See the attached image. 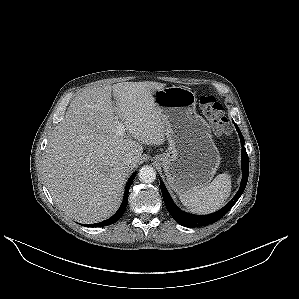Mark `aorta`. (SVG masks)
I'll use <instances>...</instances> for the list:
<instances>
[{
	"instance_id": "obj_1",
	"label": "aorta",
	"mask_w": 299,
	"mask_h": 299,
	"mask_svg": "<svg viewBox=\"0 0 299 299\" xmlns=\"http://www.w3.org/2000/svg\"><path fill=\"white\" fill-rule=\"evenodd\" d=\"M138 176L143 183H152L156 179V171L153 167L146 165L139 170Z\"/></svg>"
}]
</instances>
